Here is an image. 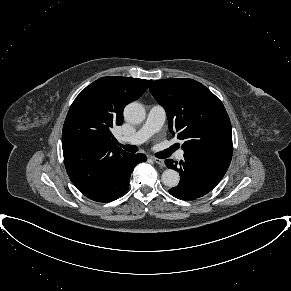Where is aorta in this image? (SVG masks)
<instances>
[{"label":"aorta","instance_id":"obj_1","mask_svg":"<svg viewBox=\"0 0 291 291\" xmlns=\"http://www.w3.org/2000/svg\"><path fill=\"white\" fill-rule=\"evenodd\" d=\"M145 109L137 102L129 103L124 109V118L132 124H139L145 119ZM163 184L167 187H176L179 183V173L173 169H166L161 176Z\"/></svg>","mask_w":291,"mask_h":291}]
</instances>
